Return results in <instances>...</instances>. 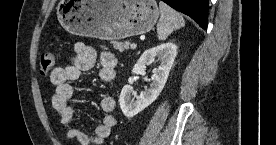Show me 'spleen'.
<instances>
[{
  "label": "spleen",
  "instance_id": "1",
  "mask_svg": "<svg viewBox=\"0 0 276 145\" xmlns=\"http://www.w3.org/2000/svg\"><path fill=\"white\" fill-rule=\"evenodd\" d=\"M160 19L157 24V35L160 40H166L174 31L185 25V21L180 13L172 9L163 1L159 2Z\"/></svg>",
  "mask_w": 276,
  "mask_h": 145
}]
</instances>
